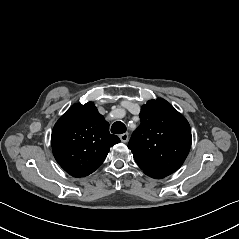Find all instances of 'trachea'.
Here are the masks:
<instances>
[{"instance_id": "obj_1", "label": "trachea", "mask_w": 239, "mask_h": 239, "mask_svg": "<svg viewBox=\"0 0 239 239\" xmlns=\"http://www.w3.org/2000/svg\"><path fill=\"white\" fill-rule=\"evenodd\" d=\"M126 130V126L120 121L115 122L111 127V132L113 134H123Z\"/></svg>"}]
</instances>
